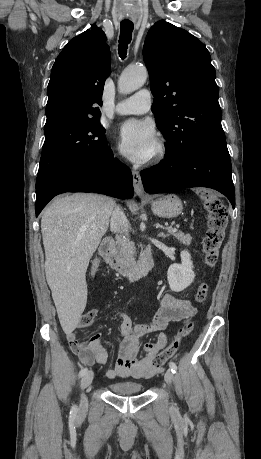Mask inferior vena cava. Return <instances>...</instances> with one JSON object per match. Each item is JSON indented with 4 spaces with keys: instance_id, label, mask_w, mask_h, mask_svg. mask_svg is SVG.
Instances as JSON below:
<instances>
[{
    "instance_id": "inferior-vena-cava-1",
    "label": "inferior vena cava",
    "mask_w": 261,
    "mask_h": 459,
    "mask_svg": "<svg viewBox=\"0 0 261 459\" xmlns=\"http://www.w3.org/2000/svg\"><path fill=\"white\" fill-rule=\"evenodd\" d=\"M111 230L116 233H126L129 227L128 220L119 206H116L112 211L110 219Z\"/></svg>"
}]
</instances>
